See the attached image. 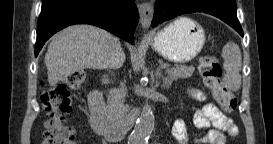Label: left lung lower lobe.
<instances>
[{"mask_svg": "<svg viewBox=\"0 0 273 144\" xmlns=\"http://www.w3.org/2000/svg\"><path fill=\"white\" fill-rule=\"evenodd\" d=\"M156 3L152 27L182 14L204 12L220 18L243 36L235 0H156Z\"/></svg>", "mask_w": 273, "mask_h": 144, "instance_id": "left-lung-lower-lobe-1", "label": "left lung lower lobe"}]
</instances>
